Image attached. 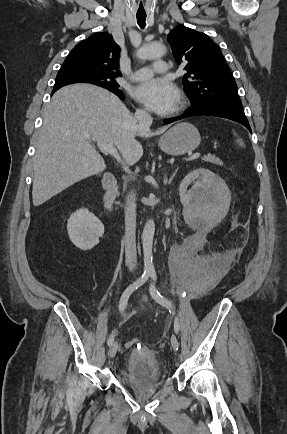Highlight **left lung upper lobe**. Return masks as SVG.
<instances>
[{
  "label": "left lung upper lobe",
  "instance_id": "left-lung-upper-lobe-1",
  "mask_svg": "<svg viewBox=\"0 0 287 434\" xmlns=\"http://www.w3.org/2000/svg\"><path fill=\"white\" fill-rule=\"evenodd\" d=\"M167 40L178 64H185L183 84L193 106L242 105L219 47L206 34L179 25Z\"/></svg>",
  "mask_w": 287,
  "mask_h": 434
}]
</instances>
